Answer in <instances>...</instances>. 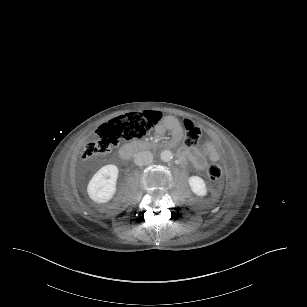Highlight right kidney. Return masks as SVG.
Masks as SVG:
<instances>
[{"label": "right kidney", "instance_id": "right-kidney-1", "mask_svg": "<svg viewBox=\"0 0 307 307\" xmlns=\"http://www.w3.org/2000/svg\"><path fill=\"white\" fill-rule=\"evenodd\" d=\"M119 169L115 165L102 167L87 186L89 198L98 204L108 203L116 194Z\"/></svg>", "mask_w": 307, "mask_h": 307}]
</instances>
